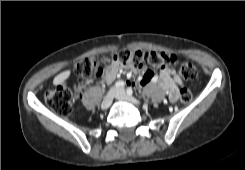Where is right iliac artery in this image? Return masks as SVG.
I'll use <instances>...</instances> for the list:
<instances>
[{"instance_id":"obj_1","label":"right iliac artery","mask_w":245,"mask_h":170,"mask_svg":"<svg viewBox=\"0 0 245 170\" xmlns=\"http://www.w3.org/2000/svg\"><path fill=\"white\" fill-rule=\"evenodd\" d=\"M124 84H125V83H124L123 81H118V82L115 83V86H116V87H123Z\"/></svg>"}]
</instances>
